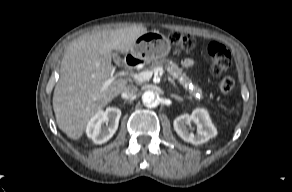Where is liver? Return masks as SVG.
I'll return each mask as SVG.
<instances>
[{"instance_id":"1","label":"liver","mask_w":292,"mask_h":192,"mask_svg":"<svg viewBox=\"0 0 292 192\" xmlns=\"http://www.w3.org/2000/svg\"><path fill=\"white\" fill-rule=\"evenodd\" d=\"M147 28L132 26L89 33L74 40L66 49L60 78L53 94L56 122L69 138L79 139L90 119L127 86L115 79L104 92L101 88L114 73L112 51L128 53Z\"/></svg>"}]
</instances>
